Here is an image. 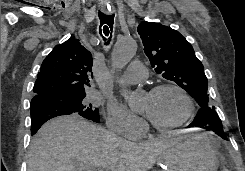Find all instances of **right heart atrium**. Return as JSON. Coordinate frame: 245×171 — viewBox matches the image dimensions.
I'll return each mask as SVG.
<instances>
[{
  "mask_svg": "<svg viewBox=\"0 0 245 171\" xmlns=\"http://www.w3.org/2000/svg\"><path fill=\"white\" fill-rule=\"evenodd\" d=\"M107 125L111 130L130 139L136 138L145 127L143 120L116 104L108 108Z\"/></svg>",
  "mask_w": 245,
  "mask_h": 171,
  "instance_id": "right-heart-atrium-1",
  "label": "right heart atrium"
}]
</instances>
